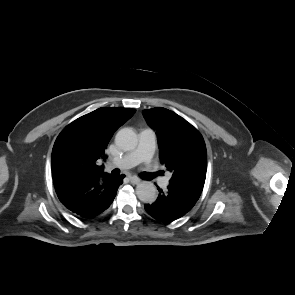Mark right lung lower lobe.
Wrapping results in <instances>:
<instances>
[{
    "instance_id": "right-lung-lower-lobe-1",
    "label": "right lung lower lobe",
    "mask_w": 295,
    "mask_h": 295,
    "mask_svg": "<svg viewBox=\"0 0 295 295\" xmlns=\"http://www.w3.org/2000/svg\"><path fill=\"white\" fill-rule=\"evenodd\" d=\"M124 175L104 173L79 182H57L54 187L61 203L78 218L101 216L113 202Z\"/></svg>"
}]
</instances>
